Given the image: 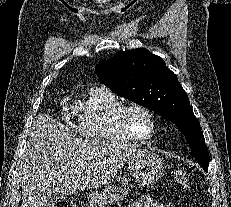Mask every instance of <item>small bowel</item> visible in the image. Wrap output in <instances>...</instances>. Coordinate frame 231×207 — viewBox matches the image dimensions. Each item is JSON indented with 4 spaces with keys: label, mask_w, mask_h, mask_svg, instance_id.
Segmentation results:
<instances>
[{
    "label": "small bowel",
    "mask_w": 231,
    "mask_h": 207,
    "mask_svg": "<svg viewBox=\"0 0 231 207\" xmlns=\"http://www.w3.org/2000/svg\"><path fill=\"white\" fill-rule=\"evenodd\" d=\"M127 207H175L152 196H144L129 203Z\"/></svg>",
    "instance_id": "c3829d8e"
}]
</instances>
